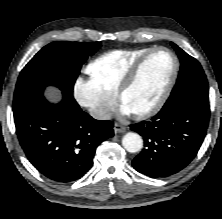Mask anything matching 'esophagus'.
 <instances>
[{"label": "esophagus", "mask_w": 222, "mask_h": 219, "mask_svg": "<svg viewBox=\"0 0 222 219\" xmlns=\"http://www.w3.org/2000/svg\"><path fill=\"white\" fill-rule=\"evenodd\" d=\"M114 132L117 134V133H122V132H125L126 131V127L119 124V123H115L114 124Z\"/></svg>", "instance_id": "esophagus-1"}]
</instances>
